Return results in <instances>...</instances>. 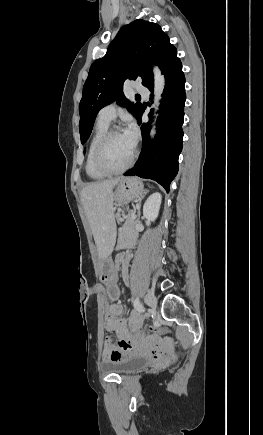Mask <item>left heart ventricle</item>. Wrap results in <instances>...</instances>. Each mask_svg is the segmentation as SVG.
<instances>
[{
    "label": "left heart ventricle",
    "mask_w": 263,
    "mask_h": 435,
    "mask_svg": "<svg viewBox=\"0 0 263 435\" xmlns=\"http://www.w3.org/2000/svg\"><path fill=\"white\" fill-rule=\"evenodd\" d=\"M134 148L130 146L124 135L117 134L112 136L106 144L102 159L111 168L123 166L130 158Z\"/></svg>",
    "instance_id": "b2bd125f"
}]
</instances>
